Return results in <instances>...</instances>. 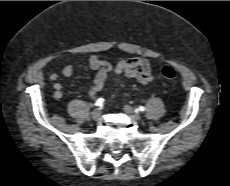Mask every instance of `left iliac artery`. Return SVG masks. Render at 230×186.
<instances>
[{
	"mask_svg": "<svg viewBox=\"0 0 230 186\" xmlns=\"http://www.w3.org/2000/svg\"><path fill=\"white\" fill-rule=\"evenodd\" d=\"M138 110L143 112V111H145V107H144V106H140V107L138 108Z\"/></svg>",
	"mask_w": 230,
	"mask_h": 186,
	"instance_id": "obj_1",
	"label": "left iliac artery"
}]
</instances>
